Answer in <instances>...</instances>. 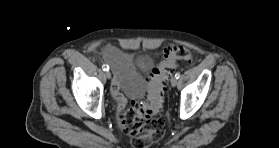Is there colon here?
Masks as SVG:
<instances>
[{
  "instance_id": "1",
  "label": "colon",
  "mask_w": 279,
  "mask_h": 148,
  "mask_svg": "<svg viewBox=\"0 0 279 148\" xmlns=\"http://www.w3.org/2000/svg\"><path fill=\"white\" fill-rule=\"evenodd\" d=\"M181 61L193 62V53L183 46H168L163 61L150 74L145 99L133 102L121 111V129L131 137L134 148H147L163 137L164 121L156 115L161 109L171 74Z\"/></svg>"
}]
</instances>
